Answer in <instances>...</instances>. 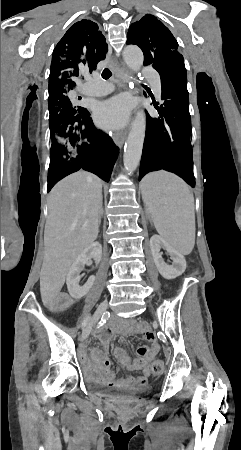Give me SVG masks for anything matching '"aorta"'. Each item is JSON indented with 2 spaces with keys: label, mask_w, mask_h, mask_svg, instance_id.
<instances>
[{
  "label": "aorta",
  "mask_w": 241,
  "mask_h": 450,
  "mask_svg": "<svg viewBox=\"0 0 241 450\" xmlns=\"http://www.w3.org/2000/svg\"><path fill=\"white\" fill-rule=\"evenodd\" d=\"M123 57L127 66L134 72L141 69L144 56L137 46L129 45L124 48ZM146 130V115L143 110H138L131 123L130 132L124 147V167L133 172L137 169L142 155Z\"/></svg>",
  "instance_id": "obj_1"
}]
</instances>
